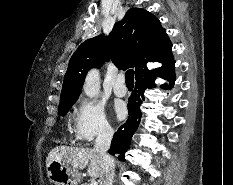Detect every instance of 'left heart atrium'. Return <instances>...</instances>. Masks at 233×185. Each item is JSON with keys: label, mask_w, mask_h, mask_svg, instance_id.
<instances>
[{"label": "left heart atrium", "mask_w": 233, "mask_h": 185, "mask_svg": "<svg viewBox=\"0 0 233 185\" xmlns=\"http://www.w3.org/2000/svg\"><path fill=\"white\" fill-rule=\"evenodd\" d=\"M115 113L118 117H122L125 114V106L122 103L115 105Z\"/></svg>", "instance_id": "39dd6f15"}]
</instances>
